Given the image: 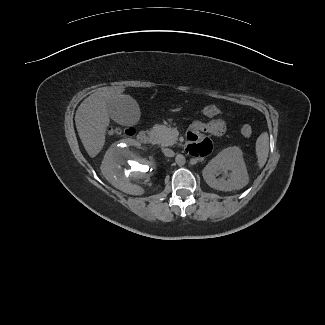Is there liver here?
<instances>
[{"mask_svg":"<svg viewBox=\"0 0 325 325\" xmlns=\"http://www.w3.org/2000/svg\"><path fill=\"white\" fill-rule=\"evenodd\" d=\"M124 87H102L88 96L78 107L75 123L81 142L92 158L102 150L110 124L107 105L123 94ZM132 98V97H130ZM133 99V98H132Z\"/></svg>","mask_w":325,"mask_h":325,"instance_id":"liver-1","label":"liver"}]
</instances>
